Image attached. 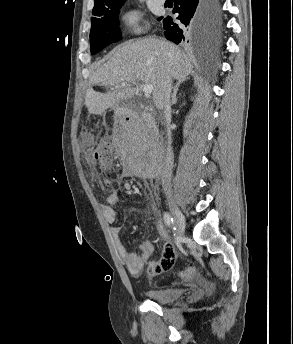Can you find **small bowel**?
Here are the masks:
<instances>
[{
  "label": "small bowel",
  "mask_w": 293,
  "mask_h": 344,
  "mask_svg": "<svg viewBox=\"0 0 293 344\" xmlns=\"http://www.w3.org/2000/svg\"><path fill=\"white\" fill-rule=\"evenodd\" d=\"M88 146V142L84 143ZM120 202L118 192H112L107 197V204L101 206V211L108 223H114L117 217L114 207ZM155 225L159 236L163 241L162 256L159 259L153 260L152 256L155 251V244L151 240H146L138 248L137 253H131L127 250L126 246L120 239L119 226H112L110 233L115 246V249L122 260L127 271L134 277H139L148 265V273L151 276L160 275L168 271L174 264L175 261V248L172 245L168 232L164 227L162 221L156 218ZM211 291V287L208 284H203L200 287H194L191 292V298L197 299L204 294Z\"/></svg>",
  "instance_id": "1"
}]
</instances>
